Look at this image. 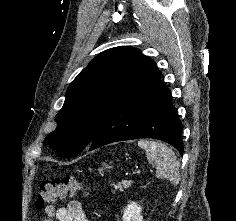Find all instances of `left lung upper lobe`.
<instances>
[{
    "label": "left lung upper lobe",
    "mask_w": 236,
    "mask_h": 221,
    "mask_svg": "<svg viewBox=\"0 0 236 221\" xmlns=\"http://www.w3.org/2000/svg\"><path fill=\"white\" fill-rule=\"evenodd\" d=\"M139 49L120 46L95 57L70 84L57 128L44 140L73 157L90 145L110 113L155 70Z\"/></svg>",
    "instance_id": "obj_1"
}]
</instances>
